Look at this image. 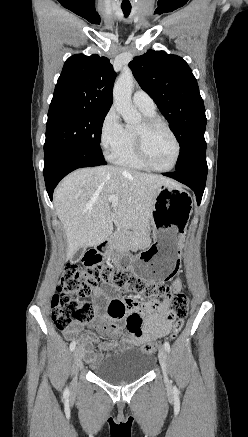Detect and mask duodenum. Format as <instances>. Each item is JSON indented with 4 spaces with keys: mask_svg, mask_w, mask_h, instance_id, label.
Listing matches in <instances>:
<instances>
[{
    "mask_svg": "<svg viewBox=\"0 0 248 437\" xmlns=\"http://www.w3.org/2000/svg\"><path fill=\"white\" fill-rule=\"evenodd\" d=\"M112 244V238L105 239L97 248H88V257H103Z\"/></svg>",
    "mask_w": 248,
    "mask_h": 437,
    "instance_id": "obj_1",
    "label": "duodenum"
}]
</instances>
